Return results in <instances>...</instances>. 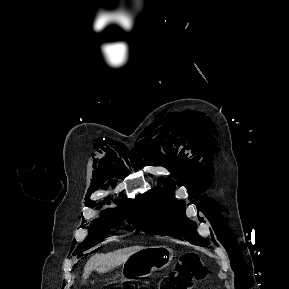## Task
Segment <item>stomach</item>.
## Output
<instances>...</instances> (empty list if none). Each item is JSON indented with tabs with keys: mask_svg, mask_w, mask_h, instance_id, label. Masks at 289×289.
I'll return each mask as SVG.
<instances>
[{
	"mask_svg": "<svg viewBox=\"0 0 289 289\" xmlns=\"http://www.w3.org/2000/svg\"><path fill=\"white\" fill-rule=\"evenodd\" d=\"M173 250L167 246L146 247L130 256L122 266V275L126 277H146L155 270L169 265Z\"/></svg>",
	"mask_w": 289,
	"mask_h": 289,
	"instance_id": "stomach-1",
	"label": "stomach"
}]
</instances>
